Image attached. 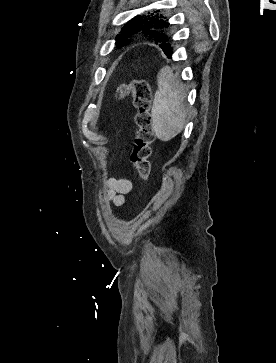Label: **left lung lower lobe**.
<instances>
[{
  "mask_svg": "<svg viewBox=\"0 0 276 363\" xmlns=\"http://www.w3.org/2000/svg\"><path fill=\"white\" fill-rule=\"evenodd\" d=\"M164 51V53L169 57V58H171V54H172V47L170 46V47H168V49H165V50H163Z\"/></svg>",
  "mask_w": 276,
  "mask_h": 363,
  "instance_id": "left-lung-lower-lobe-1",
  "label": "left lung lower lobe"
}]
</instances>
